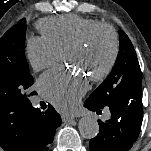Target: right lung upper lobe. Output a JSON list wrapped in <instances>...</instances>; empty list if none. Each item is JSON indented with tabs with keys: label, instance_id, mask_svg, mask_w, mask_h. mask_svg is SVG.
<instances>
[{
	"label": "right lung upper lobe",
	"instance_id": "right-lung-upper-lobe-1",
	"mask_svg": "<svg viewBox=\"0 0 151 151\" xmlns=\"http://www.w3.org/2000/svg\"><path fill=\"white\" fill-rule=\"evenodd\" d=\"M35 126V108L30 101L0 99V145L5 151H31Z\"/></svg>",
	"mask_w": 151,
	"mask_h": 151
}]
</instances>
